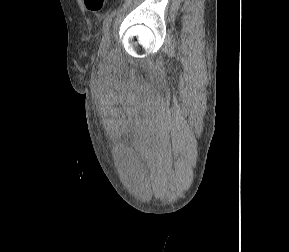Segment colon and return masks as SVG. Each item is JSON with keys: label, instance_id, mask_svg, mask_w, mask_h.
Instances as JSON below:
<instances>
[{"label": "colon", "instance_id": "1", "mask_svg": "<svg viewBox=\"0 0 289 252\" xmlns=\"http://www.w3.org/2000/svg\"><path fill=\"white\" fill-rule=\"evenodd\" d=\"M86 8L93 14H100L105 5V0H84Z\"/></svg>", "mask_w": 289, "mask_h": 252}]
</instances>
